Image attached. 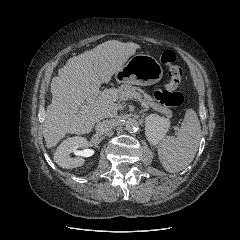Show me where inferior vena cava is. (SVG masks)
Masks as SVG:
<instances>
[{
	"label": "inferior vena cava",
	"instance_id": "obj_1",
	"mask_svg": "<svg viewBox=\"0 0 240 240\" xmlns=\"http://www.w3.org/2000/svg\"><path fill=\"white\" fill-rule=\"evenodd\" d=\"M114 125H115L114 120H103L96 124L95 131L97 134H105L112 130Z\"/></svg>",
	"mask_w": 240,
	"mask_h": 240
}]
</instances>
